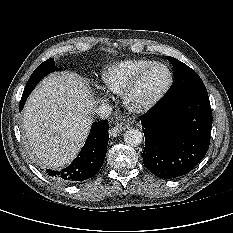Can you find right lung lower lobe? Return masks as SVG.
<instances>
[{
	"instance_id": "98d812e1",
	"label": "right lung lower lobe",
	"mask_w": 233,
	"mask_h": 233,
	"mask_svg": "<svg viewBox=\"0 0 233 233\" xmlns=\"http://www.w3.org/2000/svg\"><path fill=\"white\" fill-rule=\"evenodd\" d=\"M30 90H24L19 109L22 110ZM108 120L93 123L87 141L70 166L62 171L47 169L51 178L63 183H75L93 177L102 167L109 139Z\"/></svg>"
}]
</instances>
